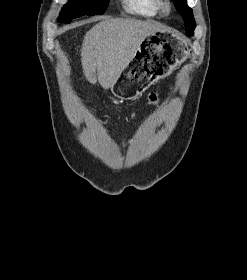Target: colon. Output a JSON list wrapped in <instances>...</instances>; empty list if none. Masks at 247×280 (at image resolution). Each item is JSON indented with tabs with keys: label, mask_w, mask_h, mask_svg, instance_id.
Instances as JSON below:
<instances>
[{
	"label": "colon",
	"mask_w": 247,
	"mask_h": 280,
	"mask_svg": "<svg viewBox=\"0 0 247 280\" xmlns=\"http://www.w3.org/2000/svg\"><path fill=\"white\" fill-rule=\"evenodd\" d=\"M159 101V97H158V94L156 93H151L148 97V103L150 105H156Z\"/></svg>",
	"instance_id": "1"
}]
</instances>
